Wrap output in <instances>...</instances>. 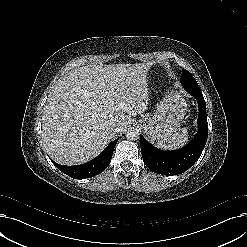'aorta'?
Instances as JSON below:
<instances>
[{
    "instance_id": "1",
    "label": "aorta",
    "mask_w": 247,
    "mask_h": 247,
    "mask_svg": "<svg viewBox=\"0 0 247 247\" xmlns=\"http://www.w3.org/2000/svg\"><path fill=\"white\" fill-rule=\"evenodd\" d=\"M139 130L137 128H129L126 131V137L129 140H137L139 138Z\"/></svg>"
}]
</instances>
